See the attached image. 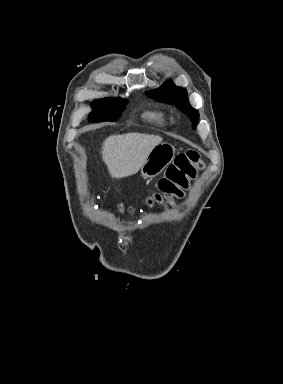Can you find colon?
Returning a JSON list of instances; mask_svg holds the SVG:
<instances>
[{
	"mask_svg": "<svg viewBox=\"0 0 283 384\" xmlns=\"http://www.w3.org/2000/svg\"><path fill=\"white\" fill-rule=\"evenodd\" d=\"M201 167L202 162L197 151L188 150L177 155L166 175L160 179L158 191L149 198V203L160 202L168 196H181Z\"/></svg>",
	"mask_w": 283,
	"mask_h": 384,
	"instance_id": "5ec220e1",
	"label": "colon"
}]
</instances>
